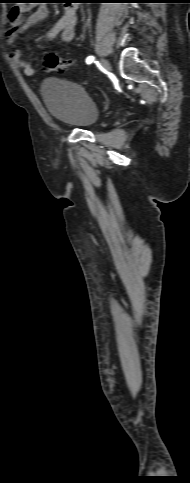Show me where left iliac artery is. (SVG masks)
<instances>
[{
	"label": "left iliac artery",
	"instance_id": "obj_1",
	"mask_svg": "<svg viewBox=\"0 0 190 483\" xmlns=\"http://www.w3.org/2000/svg\"><path fill=\"white\" fill-rule=\"evenodd\" d=\"M93 60H94V57H93V56H88V57L86 58V63H87V64H91V63L93 62Z\"/></svg>",
	"mask_w": 190,
	"mask_h": 483
}]
</instances>
